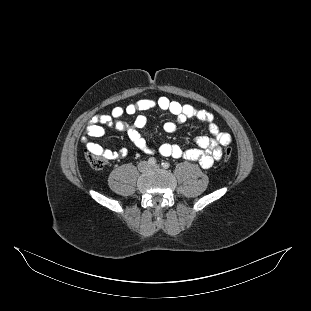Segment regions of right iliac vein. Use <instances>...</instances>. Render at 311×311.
Returning a JSON list of instances; mask_svg holds the SVG:
<instances>
[{
	"label": "right iliac vein",
	"mask_w": 311,
	"mask_h": 311,
	"mask_svg": "<svg viewBox=\"0 0 311 311\" xmlns=\"http://www.w3.org/2000/svg\"><path fill=\"white\" fill-rule=\"evenodd\" d=\"M140 169L142 170V171H145V170H147L148 169V164L146 163V162H143V163H141L140 164Z\"/></svg>",
	"instance_id": "obj_1"
}]
</instances>
